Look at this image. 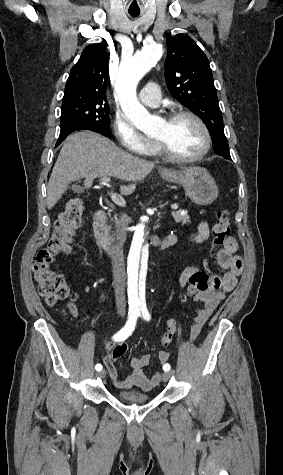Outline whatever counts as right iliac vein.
I'll use <instances>...</instances> for the list:
<instances>
[{
    "mask_svg": "<svg viewBox=\"0 0 283 475\" xmlns=\"http://www.w3.org/2000/svg\"><path fill=\"white\" fill-rule=\"evenodd\" d=\"M105 374H106V371H105V370H102L101 372L97 373V376H98V377H101V378H104V377H105Z\"/></svg>",
    "mask_w": 283,
    "mask_h": 475,
    "instance_id": "63e3f726",
    "label": "right iliac vein"
}]
</instances>
